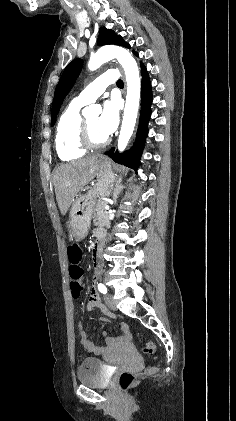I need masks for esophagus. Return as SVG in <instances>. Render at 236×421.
<instances>
[{"mask_svg": "<svg viewBox=\"0 0 236 421\" xmlns=\"http://www.w3.org/2000/svg\"><path fill=\"white\" fill-rule=\"evenodd\" d=\"M123 78H124V75H123ZM122 92H123V95H125V87H124V89H123V91H122Z\"/></svg>", "mask_w": 236, "mask_h": 421, "instance_id": "34e87169", "label": "esophagus"}]
</instances>
